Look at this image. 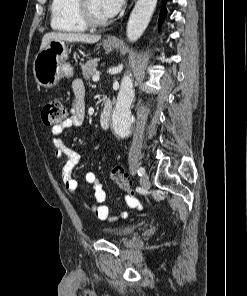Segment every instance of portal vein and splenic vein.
<instances>
[{"instance_id": "portal-vein-and-splenic-vein-1", "label": "portal vein and splenic vein", "mask_w": 247, "mask_h": 296, "mask_svg": "<svg viewBox=\"0 0 247 296\" xmlns=\"http://www.w3.org/2000/svg\"><path fill=\"white\" fill-rule=\"evenodd\" d=\"M99 79H100V76H99L98 74H96V75H94V76L92 77V80H93L94 82L99 81Z\"/></svg>"}]
</instances>
